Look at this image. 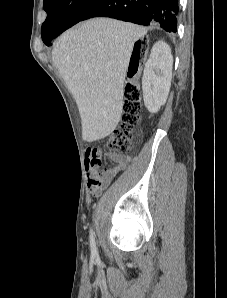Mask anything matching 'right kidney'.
I'll return each mask as SVG.
<instances>
[{
	"label": "right kidney",
	"mask_w": 227,
	"mask_h": 298,
	"mask_svg": "<svg viewBox=\"0 0 227 298\" xmlns=\"http://www.w3.org/2000/svg\"><path fill=\"white\" fill-rule=\"evenodd\" d=\"M173 57L170 46L156 42L151 50L142 78L144 104L149 112L156 113L166 103L172 78Z\"/></svg>",
	"instance_id": "right-kidney-1"
}]
</instances>
